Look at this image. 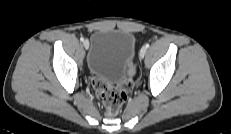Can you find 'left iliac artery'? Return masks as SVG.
I'll use <instances>...</instances> for the list:
<instances>
[{
  "mask_svg": "<svg viewBox=\"0 0 231 134\" xmlns=\"http://www.w3.org/2000/svg\"><path fill=\"white\" fill-rule=\"evenodd\" d=\"M149 46H150L149 43H147V44L145 45L146 48H149Z\"/></svg>",
  "mask_w": 231,
  "mask_h": 134,
  "instance_id": "obj_1",
  "label": "left iliac artery"
}]
</instances>
